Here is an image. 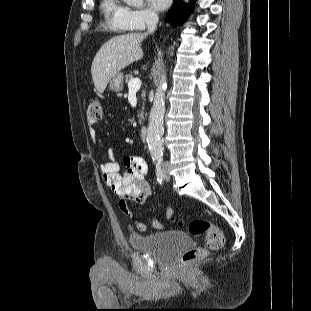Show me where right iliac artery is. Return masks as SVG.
<instances>
[{
	"instance_id": "obj_1",
	"label": "right iliac artery",
	"mask_w": 311,
	"mask_h": 311,
	"mask_svg": "<svg viewBox=\"0 0 311 311\" xmlns=\"http://www.w3.org/2000/svg\"><path fill=\"white\" fill-rule=\"evenodd\" d=\"M157 181L162 184L164 181V173L161 160H155Z\"/></svg>"
}]
</instances>
